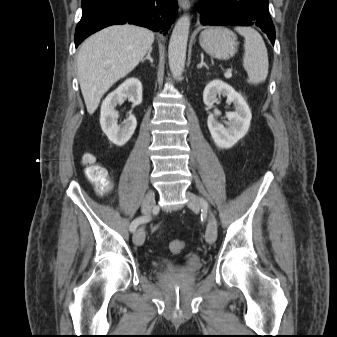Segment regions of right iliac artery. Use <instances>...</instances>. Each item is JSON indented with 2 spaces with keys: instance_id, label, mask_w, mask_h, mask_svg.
Wrapping results in <instances>:
<instances>
[{
  "instance_id": "1",
  "label": "right iliac artery",
  "mask_w": 337,
  "mask_h": 337,
  "mask_svg": "<svg viewBox=\"0 0 337 337\" xmlns=\"http://www.w3.org/2000/svg\"><path fill=\"white\" fill-rule=\"evenodd\" d=\"M148 220H149V217H148V216H140V217H137L136 219H134V220L131 222L130 227H129L130 231H131V232H134V231L136 230V228H137L140 224H142V223H144V222H146V221H148Z\"/></svg>"
}]
</instances>
